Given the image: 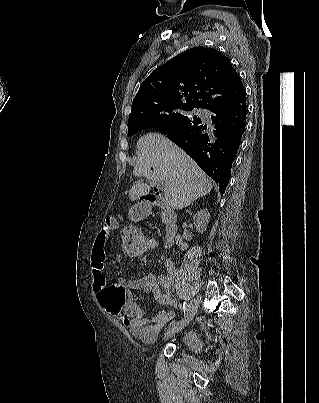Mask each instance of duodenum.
I'll return each mask as SVG.
<instances>
[{
	"mask_svg": "<svg viewBox=\"0 0 319 403\" xmlns=\"http://www.w3.org/2000/svg\"><path fill=\"white\" fill-rule=\"evenodd\" d=\"M152 206L162 209V219L165 229V245L170 246L177 233V215L175 210L166 202L161 192L156 191L142 197V202L136 207V214L143 218L148 215Z\"/></svg>",
	"mask_w": 319,
	"mask_h": 403,
	"instance_id": "410a0bca",
	"label": "duodenum"
}]
</instances>
